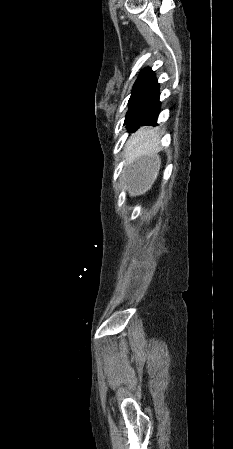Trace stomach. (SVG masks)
<instances>
[{"label": "stomach", "mask_w": 233, "mask_h": 449, "mask_svg": "<svg viewBox=\"0 0 233 449\" xmlns=\"http://www.w3.org/2000/svg\"><path fill=\"white\" fill-rule=\"evenodd\" d=\"M159 164V158L156 155L147 156L139 162L130 176L131 182L133 183L130 189V197L132 200H140L142 197L141 194L151 187Z\"/></svg>", "instance_id": "stomach-1"}]
</instances>
